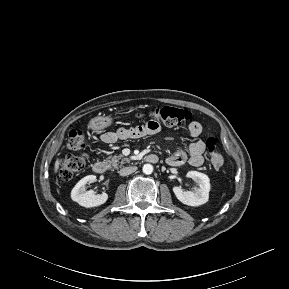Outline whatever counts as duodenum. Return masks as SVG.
Listing matches in <instances>:
<instances>
[{
  "label": "duodenum",
  "mask_w": 289,
  "mask_h": 289,
  "mask_svg": "<svg viewBox=\"0 0 289 289\" xmlns=\"http://www.w3.org/2000/svg\"><path fill=\"white\" fill-rule=\"evenodd\" d=\"M145 159L149 163H157L159 160L155 154H149ZM92 170L96 174H104L107 171V165L102 161H96L92 164Z\"/></svg>",
  "instance_id": "1"
}]
</instances>
